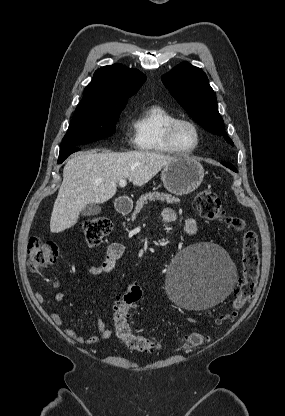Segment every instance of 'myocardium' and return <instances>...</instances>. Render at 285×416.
I'll return each instance as SVG.
<instances>
[{"mask_svg": "<svg viewBox=\"0 0 285 416\" xmlns=\"http://www.w3.org/2000/svg\"><path fill=\"white\" fill-rule=\"evenodd\" d=\"M181 123H186L190 125L193 128L195 135H196V145L193 148L188 149V150L179 148L175 141V129ZM165 139L170 150L173 153L177 155H181V156H187V155L196 153L198 149L200 148L201 141H202L201 131H200L199 126L193 120L189 118H183V117H176L167 125L166 130H165Z\"/></svg>", "mask_w": 285, "mask_h": 416, "instance_id": "1", "label": "myocardium"}]
</instances>
